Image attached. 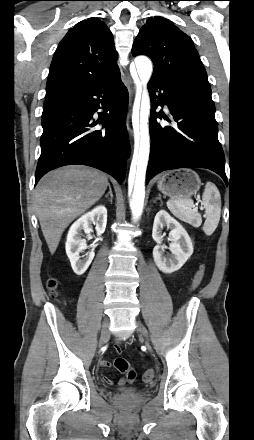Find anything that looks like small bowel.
Listing matches in <instances>:
<instances>
[{
    "instance_id": "1",
    "label": "small bowel",
    "mask_w": 254,
    "mask_h": 440,
    "mask_svg": "<svg viewBox=\"0 0 254 440\" xmlns=\"http://www.w3.org/2000/svg\"><path fill=\"white\" fill-rule=\"evenodd\" d=\"M115 350H120V345H115ZM100 365L102 368H108L110 366V362L108 360H101ZM103 382L107 383V384H111L113 382V380L107 376H103L102 377Z\"/></svg>"
}]
</instances>
